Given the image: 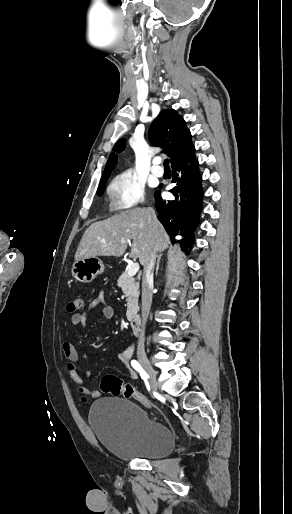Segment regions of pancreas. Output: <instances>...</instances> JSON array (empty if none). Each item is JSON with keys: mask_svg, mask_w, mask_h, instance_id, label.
I'll use <instances>...</instances> for the list:
<instances>
[{"mask_svg": "<svg viewBox=\"0 0 292 514\" xmlns=\"http://www.w3.org/2000/svg\"><path fill=\"white\" fill-rule=\"evenodd\" d=\"M117 286L121 288L126 296L128 318H135L138 310L139 284L134 278L128 276V272H123L118 278Z\"/></svg>", "mask_w": 292, "mask_h": 514, "instance_id": "pancreas-1", "label": "pancreas"}]
</instances>
